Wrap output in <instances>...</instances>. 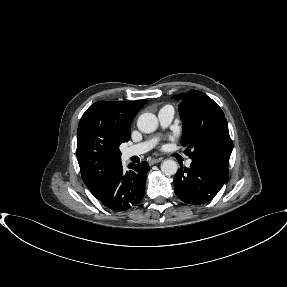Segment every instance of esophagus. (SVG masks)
Returning <instances> with one entry per match:
<instances>
[{"label":"esophagus","mask_w":287,"mask_h":287,"mask_svg":"<svg viewBox=\"0 0 287 287\" xmlns=\"http://www.w3.org/2000/svg\"><path fill=\"white\" fill-rule=\"evenodd\" d=\"M162 160H163L162 157L152 158V159L149 160V164H150V165H154V164H156V163L161 162Z\"/></svg>","instance_id":"obj_1"}]
</instances>
